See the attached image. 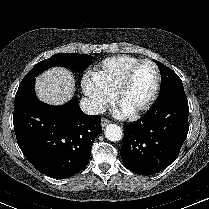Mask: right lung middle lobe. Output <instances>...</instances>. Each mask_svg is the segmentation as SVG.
Segmentation results:
<instances>
[{
    "instance_id": "dd1d6c3e",
    "label": "right lung middle lobe",
    "mask_w": 209,
    "mask_h": 209,
    "mask_svg": "<svg viewBox=\"0 0 209 209\" xmlns=\"http://www.w3.org/2000/svg\"><path fill=\"white\" fill-rule=\"evenodd\" d=\"M91 55L86 54H72V53H59L51 56L48 59L37 63L24 77L21 84L29 79L35 78L38 74L52 66H64L73 69L77 72H83L91 63Z\"/></svg>"
}]
</instances>
